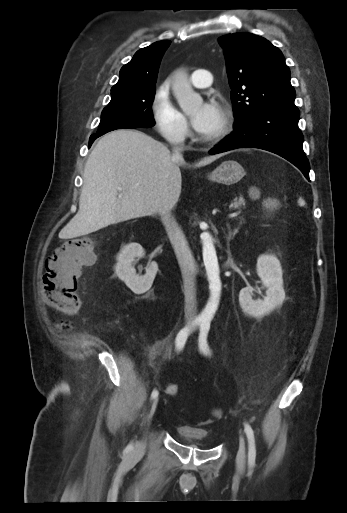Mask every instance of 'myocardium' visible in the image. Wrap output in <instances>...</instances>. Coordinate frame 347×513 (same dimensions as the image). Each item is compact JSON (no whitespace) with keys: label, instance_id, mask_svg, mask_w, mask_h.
<instances>
[{"label":"myocardium","instance_id":"1","mask_svg":"<svg viewBox=\"0 0 347 513\" xmlns=\"http://www.w3.org/2000/svg\"><path fill=\"white\" fill-rule=\"evenodd\" d=\"M223 120L220 129L213 136L203 137L200 136V139L203 143L213 144L221 140L224 136H226L231 130L232 122L231 117L226 109L223 110L222 114Z\"/></svg>","mask_w":347,"mask_h":513}]
</instances>
